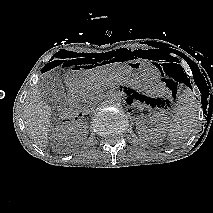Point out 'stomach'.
<instances>
[{
    "instance_id": "obj_1",
    "label": "stomach",
    "mask_w": 213,
    "mask_h": 213,
    "mask_svg": "<svg viewBox=\"0 0 213 213\" xmlns=\"http://www.w3.org/2000/svg\"><path fill=\"white\" fill-rule=\"evenodd\" d=\"M120 76L143 89H149L158 82L159 72L156 66L146 60H132L126 63H111L98 65L88 71H79L68 76L71 85H82L92 80H100L103 76Z\"/></svg>"
}]
</instances>
